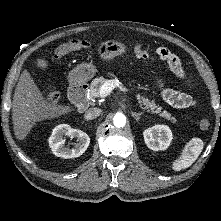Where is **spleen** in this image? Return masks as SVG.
Instances as JSON below:
<instances>
[{
    "mask_svg": "<svg viewBox=\"0 0 221 221\" xmlns=\"http://www.w3.org/2000/svg\"><path fill=\"white\" fill-rule=\"evenodd\" d=\"M203 146L204 143L200 138H192L179 159L173 162L172 169L174 171H180L190 167L200 155Z\"/></svg>",
    "mask_w": 221,
    "mask_h": 221,
    "instance_id": "spleen-1",
    "label": "spleen"
}]
</instances>
